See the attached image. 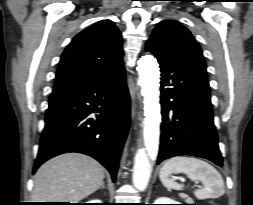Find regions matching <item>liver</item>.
I'll return each instance as SVG.
<instances>
[{"label": "liver", "mask_w": 253, "mask_h": 205, "mask_svg": "<svg viewBox=\"0 0 253 205\" xmlns=\"http://www.w3.org/2000/svg\"><path fill=\"white\" fill-rule=\"evenodd\" d=\"M103 178L104 168L95 159L66 153L50 159L37 170L33 200L78 203L98 190Z\"/></svg>", "instance_id": "1"}]
</instances>
